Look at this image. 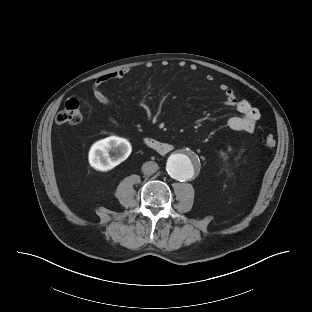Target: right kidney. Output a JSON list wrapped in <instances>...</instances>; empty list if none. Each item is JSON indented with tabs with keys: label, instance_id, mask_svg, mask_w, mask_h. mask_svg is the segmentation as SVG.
Instances as JSON below:
<instances>
[{
	"label": "right kidney",
	"instance_id": "right-kidney-1",
	"mask_svg": "<svg viewBox=\"0 0 312 312\" xmlns=\"http://www.w3.org/2000/svg\"><path fill=\"white\" fill-rule=\"evenodd\" d=\"M115 152L116 157L111 158L109 152ZM132 151V147L127 139L117 136H110L95 142L89 151L88 160L94 169L98 171H108L115 164L114 159L125 160Z\"/></svg>",
	"mask_w": 312,
	"mask_h": 312
}]
</instances>
